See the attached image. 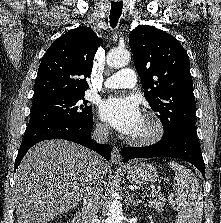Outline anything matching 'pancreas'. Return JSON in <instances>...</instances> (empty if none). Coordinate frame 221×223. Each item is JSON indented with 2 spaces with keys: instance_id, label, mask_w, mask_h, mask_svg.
<instances>
[{
  "instance_id": "cf45deb5",
  "label": "pancreas",
  "mask_w": 221,
  "mask_h": 223,
  "mask_svg": "<svg viewBox=\"0 0 221 223\" xmlns=\"http://www.w3.org/2000/svg\"><path fill=\"white\" fill-rule=\"evenodd\" d=\"M148 197L149 204L158 212H161L165 204V198L163 197V195L159 193H152Z\"/></svg>"
}]
</instances>
